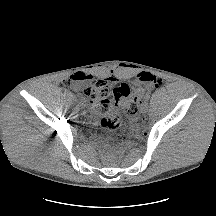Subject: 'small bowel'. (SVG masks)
I'll list each match as a JSON object with an SVG mask.
<instances>
[{"instance_id":"small-bowel-1","label":"small bowel","mask_w":216,"mask_h":216,"mask_svg":"<svg viewBox=\"0 0 216 216\" xmlns=\"http://www.w3.org/2000/svg\"><path fill=\"white\" fill-rule=\"evenodd\" d=\"M86 79H87V76L84 73H82V72H76V73H74V74H72L70 76L69 81H71L73 83H80V82L85 81ZM122 85H125V86L129 87L126 84H122Z\"/></svg>"}]
</instances>
